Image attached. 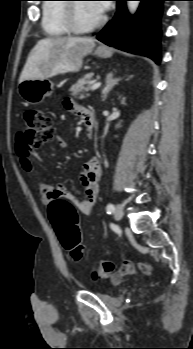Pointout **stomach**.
I'll return each mask as SVG.
<instances>
[{"instance_id":"0dacf381","label":"stomach","mask_w":193,"mask_h":349,"mask_svg":"<svg viewBox=\"0 0 193 349\" xmlns=\"http://www.w3.org/2000/svg\"><path fill=\"white\" fill-rule=\"evenodd\" d=\"M95 54L100 58H110L113 50L109 47H99ZM53 87V83L48 79L32 78L19 83L18 92L25 102L37 104L52 94Z\"/></svg>"}]
</instances>
